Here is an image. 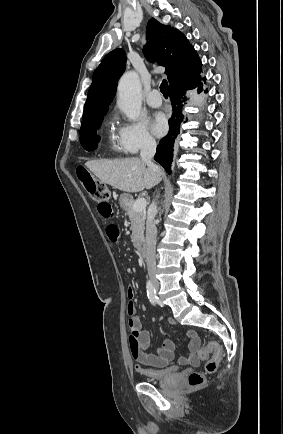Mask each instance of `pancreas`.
Wrapping results in <instances>:
<instances>
[{
	"mask_svg": "<svg viewBox=\"0 0 283 434\" xmlns=\"http://www.w3.org/2000/svg\"><path fill=\"white\" fill-rule=\"evenodd\" d=\"M135 202L132 201V203L124 208L126 211V214L129 217V220L131 222V230H132V236L131 241L135 247H137L143 240H144V229H145V212L141 211H135L133 209V204Z\"/></svg>",
	"mask_w": 283,
	"mask_h": 434,
	"instance_id": "obj_1",
	"label": "pancreas"
}]
</instances>
